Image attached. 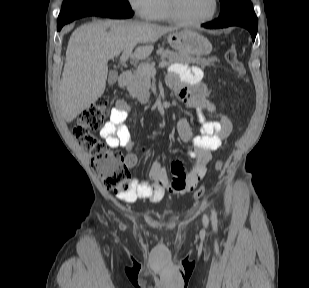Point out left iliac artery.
Here are the masks:
<instances>
[{"label": "left iliac artery", "instance_id": "left-iliac-artery-1", "mask_svg": "<svg viewBox=\"0 0 309 288\" xmlns=\"http://www.w3.org/2000/svg\"><path fill=\"white\" fill-rule=\"evenodd\" d=\"M212 223L214 227H217V213L215 209L212 210Z\"/></svg>", "mask_w": 309, "mask_h": 288}]
</instances>
